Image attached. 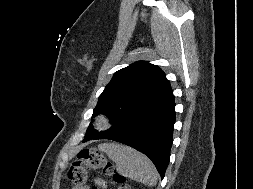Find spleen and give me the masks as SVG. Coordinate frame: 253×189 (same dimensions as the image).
<instances>
[{"instance_id": "obj_1", "label": "spleen", "mask_w": 253, "mask_h": 189, "mask_svg": "<svg viewBox=\"0 0 253 189\" xmlns=\"http://www.w3.org/2000/svg\"><path fill=\"white\" fill-rule=\"evenodd\" d=\"M98 149L115 162L117 171L121 175L149 186L156 184L157 170L144 154L117 143H103L98 146Z\"/></svg>"}]
</instances>
